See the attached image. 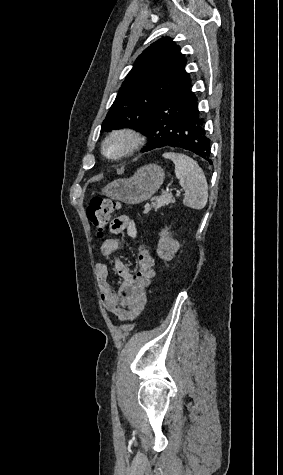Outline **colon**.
<instances>
[{
    "label": "colon",
    "mask_w": 283,
    "mask_h": 475,
    "mask_svg": "<svg viewBox=\"0 0 283 475\" xmlns=\"http://www.w3.org/2000/svg\"><path fill=\"white\" fill-rule=\"evenodd\" d=\"M119 207V203L107 198L95 197L86 208V215L91 225L101 236L106 232L112 214ZM154 276V258L148 248H140L138 253V264L135 272L130 276L129 282L132 286H138L143 281Z\"/></svg>",
    "instance_id": "5ec220e1"
}]
</instances>
